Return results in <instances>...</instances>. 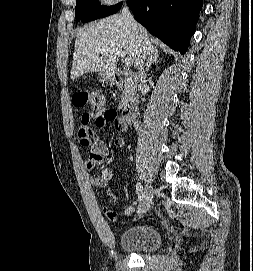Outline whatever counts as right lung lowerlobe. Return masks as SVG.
<instances>
[{
    "label": "right lung lower lobe",
    "instance_id": "obj_1",
    "mask_svg": "<svg viewBox=\"0 0 253 271\" xmlns=\"http://www.w3.org/2000/svg\"><path fill=\"white\" fill-rule=\"evenodd\" d=\"M127 4L151 34L175 51H187L202 0H127Z\"/></svg>",
    "mask_w": 253,
    "mask_h": 271
}]
</instances>
